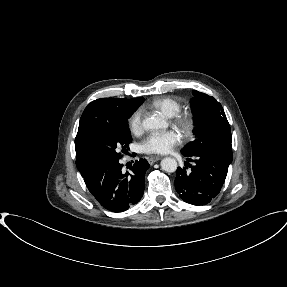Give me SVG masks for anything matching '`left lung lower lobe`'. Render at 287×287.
I'll use <instances>...</instances> for the list:
<instances>
[{"mask_svg": "<svg viewBox=\"0 0 287 287\" xmlns=\"http://www.w3.org/2000/svg\"><path fill=\"white\" fill-rule=\"evenodd\" d=\"M185 156V155H184ZM189 157L194 158L191 170L178 168L175 189L180 197L193 205H205L220 192L232 162V145L219 144L199 151Z\"/></svg>", "mask_w": 287, "mask_h": 287, "instance_id": "0a47b994", "label": "left lung lower lobe"}]
</instances>
